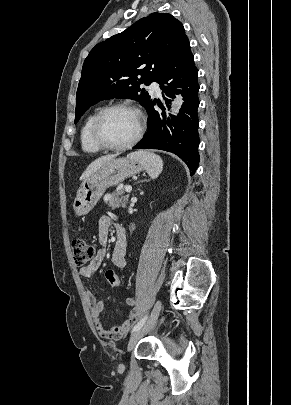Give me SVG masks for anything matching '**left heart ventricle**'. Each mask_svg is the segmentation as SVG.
Segmentation results:
<instances>
[{
    "mask_svg": "<svg viewBox=\"0 0 291 405\" xmlns=\"http://www.w3.org/2000/svg\"><path fill=\"white\" fill-rule=\"evenodd\" d=\"M138 123V117L134 112L125 109L113 110L103 117L100 133L108 143L124 144L135 136Z\"/></svg>",
    "mask_w": 291,
    "mask_h": 405,
    "instance_id": "left-heart-ventricle-1",
    "label": "left heart ventricle"
}]
</instances>
